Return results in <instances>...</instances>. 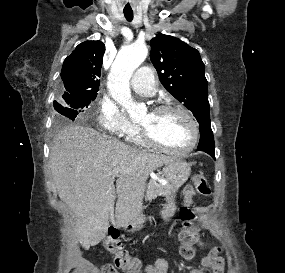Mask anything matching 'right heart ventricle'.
<instances>
[{"label": "right heart ventricle", "mask_w": 285, "mask_h": 273, "mask_svg": "<svg viewBox=\"0 0 285 273\" xmlns=\"http://www.w3.org/2000/svg\"><path fill=\"white\" fill-rule=\"evenodd\" d=\"M130 141L138 146H143L144 142L141 140L139 134L136 132L132 136L129 137Z\"/></svg>", "instance_id": "e07e8e85"}]
</instances>
